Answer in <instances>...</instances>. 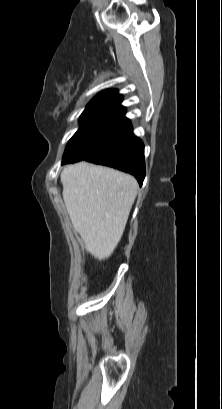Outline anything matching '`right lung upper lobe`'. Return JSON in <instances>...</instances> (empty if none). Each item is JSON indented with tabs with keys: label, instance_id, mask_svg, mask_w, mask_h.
Returning <instances> with one entry per match:
<instances>
[{
	"label": "right lung upper lobe",
	"instance_id": "obj_1",
	"mask_svg": "<svg viewBox=\"0 0 222 409\" xmlns=\"http://www.w3.org/2000/svg\"><path fill=\"white\" fill-rule=\"evenodd\" d=\"M121 101L122 96L119 95L116 90H105L94 97L86 109L122 107L120 106Z\"/></svg>",
	"mask_w": 222,
	"mask_h": 409
}]
</instances>
